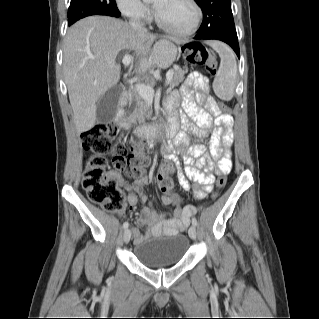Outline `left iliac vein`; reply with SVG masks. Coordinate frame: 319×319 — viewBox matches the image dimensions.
I'll return each instance as SVG.
<instances>
[{"label": "left iliac vein", "mask_w": 319, "mask_h": 319, "mask_svg": "<svg viewBox=\"0 0 319 319\" xmlns=\"http://www.w3.org/2000/svg\"><path fill=\"white\" fill-rule=\"evenodd\" d=\"M189 236L192 238V239H195L196 238V227L195 226H191L189 228Z\"/></svg>", "instance_id": "1"}]
</instances>
